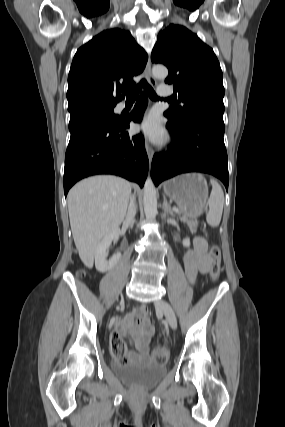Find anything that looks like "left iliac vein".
I'll return each mask as SVG.
<instances>
[{
  "label": "left iliac vein",
  "instance_id": "1",
  "mask_svg": "<svg viewBox=\"0 0 285 427\" xmlns=\"http://www.w3.org/2000/svg\"><path fill=\"white\" fill-rule=\"evenodd\" d=\"M155 307L157 310H160L164 313L169 325L173 329H176L177 319H176V315H175L174 310L171 307V305L164 300H158L155 302Z\"/></svg>",
  "mask_w": 285,
  "mask_h": 427
}]
</instances>
